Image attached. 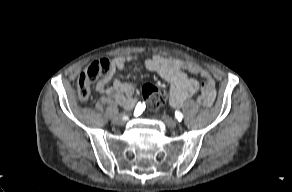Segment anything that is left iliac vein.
<instances>
[{"mask_svg":"<svg viewBox=\"0 0 292 192\" xmlns=\"http://www.w3.org/2000/svg\"><path fill=\"white\" fill-rule=\"evenodd\" d=\"M162 120L166 124L167 127L174 129L177 126L176 121H174L172 118L162 115Z\"/></svg>","mask_w":292,"mask_h":192,"instance_id":"obj_1","label":"left iliac vein"}]
</instances>
